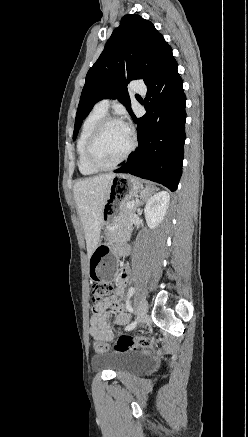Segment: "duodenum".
I'll return each mask as SVG.
<instances>
[{
	"mask_svg": "<svg viewBox=\"0 0 248 437\" xmlns=\"http://www.w3.org/2000/svg\"><path fill=\"white\" fill-rule=\"evenodd\" d=\"M120 252H121L122 254H126V253H127V249H126L125 247H123V248H121Z\"/></svg>",
	"mask_w": 248,
	"mask_h": 437,
	"instance_id": "410a0bca",
	"label": "duodenum"
}]
</instances>
